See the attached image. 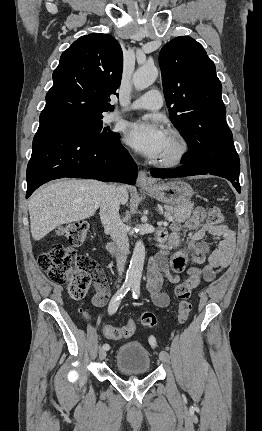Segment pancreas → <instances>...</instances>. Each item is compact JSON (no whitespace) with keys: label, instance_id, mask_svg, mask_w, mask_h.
Returning a JSON list of instances; mask_svg holds the SVG:
<instances>
[{"label":"pancreas","instance_id":"cf45deb5","mask_svg":"<svg viewBox=\"0 0 262 431\" xmlns=\"http://www.w3.org/2000/svg\"><path fill=\"white\" fill-rule=\"evenodd\" d=\"M165 216H173L172 222H184L191 215V207L188 206H164Z\"/></svg>","mask_w":262,"mask_h":431}]
</instances>
